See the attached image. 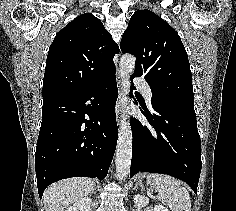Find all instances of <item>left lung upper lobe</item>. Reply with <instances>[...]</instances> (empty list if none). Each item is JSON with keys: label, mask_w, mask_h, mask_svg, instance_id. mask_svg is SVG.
Returning <instances> with one entry per match:
<instances>
[{"label": "left lung upper lobe", "mask_w": 236, "mask_h": 211, "mask_svg": "<svg viewBox=\"0 0 236 211\" xmlns=\"http://www.w3.org/2000/svg\"><path fill=\"white\" fill-rule=\"evenodd\" d=\"M123 53L136 57L132 76H145L153 101L180 111L195 113L192 74L178 33L149 10L136 11L121 39Z\"/></svg>", "instance_id": "obj_1"}]
</instances>
